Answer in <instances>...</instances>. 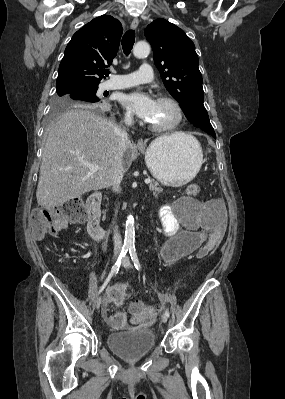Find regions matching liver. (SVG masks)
Listing matches in <instances>:
<instances>
[{"instance_id":"obj_1","label":"liver","mask_w":285,"mask_h":399,"mask_svg":"<svg viewBox=\"0 0 285 399\" xmlns=\"http://www.w3.org/2000/svg\"><path fill=\"white\" fill-rule=\"evenodd\" d=\"M122 129L93 111L70 109L48 131L36 191L38 205L51 209L86 192L113 184L117 157L121 152L124 172L131 165L133 143L120 150ZM187 135L175 132L163 138ZM84 163L99 166L90 171Z\"/></svg>"}]
</instances>
